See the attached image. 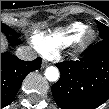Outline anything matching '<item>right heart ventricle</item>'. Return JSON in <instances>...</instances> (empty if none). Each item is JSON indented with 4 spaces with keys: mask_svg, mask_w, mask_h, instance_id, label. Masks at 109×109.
<instances>
[{
    "mask_svg": "<svg viewBox=\"0 0 109 109\" xmlns=\"http://www.w3.org/2000/svg\"><path fill=\"white\" fill-rule=\"evenodd\" d=\"M88 29V26L81 22H74L65 28H57L51 32H37L32 36V41L44 56H49L61 48L67 47L77 41V39Z\"/></svg>",
    "mask_w": 109,
    "mask_h": 109,
    "instance_id": "e07e8e85",
    "label": "right heart ventricle"
}]
</instances>
